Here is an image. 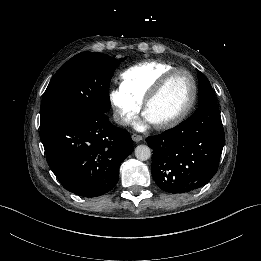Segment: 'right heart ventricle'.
<instances>
[{"label": "right heart ventricle", "mask_w": 261, "mask_h": 261, "mask_svg": "<svg viewBox=\"0 0 261 261\" xmlns=\"http://www.w3.org/2000/svg\"><path fill=\"white\" fill-rule=\"evenodd\" d=\"M175 68L172 64L159 60L137 63L121 73V88L142 103L157 81Z\"/></svg>", "instance_id": "right-heart-ventricle-1"}]
</instances>
